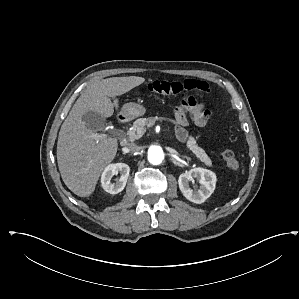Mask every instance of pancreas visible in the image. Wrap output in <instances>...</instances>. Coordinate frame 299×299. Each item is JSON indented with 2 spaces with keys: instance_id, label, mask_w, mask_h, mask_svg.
I'll list each match as a JSON object with an SVG mask.
<instances>
[{
  "instance_id": "1",
  "label": "pancreas",
  "mask_w": 299,
  "mask_h": 299,
  "mask_svg": "<svg viewBox=\"0 0 299 299\" xmlns=\"http://www.w3.org/2000/svg\"><path fill=\"white\" fill-rule=\"evenodd\" d=\"M148 120L146 118H140L137 119L131 128L127 132L129 140L134 141L143 136V134L146 132V126H147ZM186 147L192 151L195 156L201 160L206 166L211 167L212 161L205 153V150L199 147L196 143V140L193 137H190L187 141Z\"/></svg>"
}]
</instances>
